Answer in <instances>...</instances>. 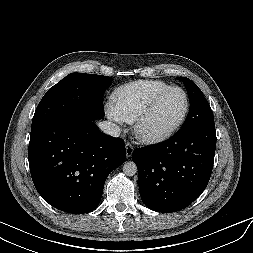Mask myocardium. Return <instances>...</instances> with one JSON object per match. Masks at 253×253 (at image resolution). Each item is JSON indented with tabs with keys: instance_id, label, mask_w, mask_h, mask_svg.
<instances>
[{
	"instance_id": "f54148a6",
	"label": "myocardium",
	"mask_w": 253,
	"mask_h": 253,
	"mask_svg": "<svg viewBox=\"0 0 253 253\" xmlns=\"http://www.w3.org/2000/svg\"><path fill=\"white\" fill-rule=\"evenodd\" d=\"M172 91H180L184 96L185 106H184L181 116L179 117L177 122L166 131L159 132V133L146 132L144 129L145 122L147 121V119L149 118L151 113L153 112V110L156 107V105L158 104V102L166 94H168L169 92H172ZM189 108H190V101H189V97H188L187 92L179 86H170V87L162 90L161 92L157 93L149 101V103L147 104V106L145 107V109L143 110V112L140 114V116L138 117V119L135 122L134 132H135L136 136L138 137V139L144 143L156 144V143H161L163 141H166L167 139L171 138L181 128V126L183 125V123L188 115Z\"/></svg>"
}]
</instances>
